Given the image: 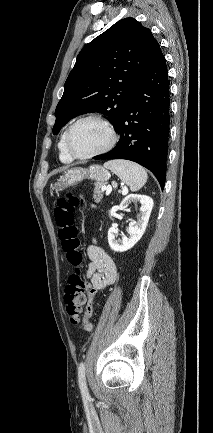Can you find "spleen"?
<instances>
[{
	"mask_svg": "<svg viewBox=\"0 0 213 433\" xmlns=\"http://www.w3.org/2000/svg\"><path fill=\"white\" fill-rule=\"evenodd\" d=\"M104 167L115 173L133 192L141 189L148 178L145 169L131 161L112 160L104 163Z\"/></svg>",
	"mask_w": 213,
	"mask_h": 433,
	"instance_id": "1",
	"label": "spleen"
}]
</instances>
